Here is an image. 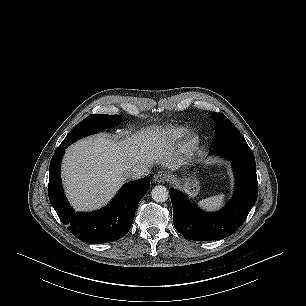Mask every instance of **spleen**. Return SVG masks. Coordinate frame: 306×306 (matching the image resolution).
<instances>
[{
  "mask_svg": "<svg viewBox=\"0 0 306 306\" xmlns=\"http://www.w3.org/2000/svg\"><path fill=\"white\" fill-rule=\"evenodd\" d=\"M225 200V195H217L207 199L199 201L198 206L207 211L218 210L222 207Z\"/></svg>",
  "mask_w": 306,
  "mask_h": 306,
  "instance_id": "obj_1",
  "label": "spleen"
}]
</instances>
